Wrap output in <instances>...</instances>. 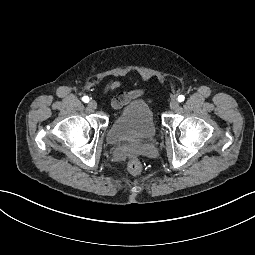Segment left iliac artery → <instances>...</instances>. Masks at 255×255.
Instances as JSON below:
<instances>
[{"label": "left iliac artery", "instance_id": "obj_1", "mask_svg": "<svg viewBox=\"0 0 255 255\" xmlns=\"http://www.w3.org/2000/svg\"><path fill=\"white\" fill-rule=\"evenodd\" d=\"M184 99H185V97H184L183 95H179V96H178V101H179V102L184 101Z\"/></svg>", "mask_w": 255, "mask_h": 255}]
</instances>
